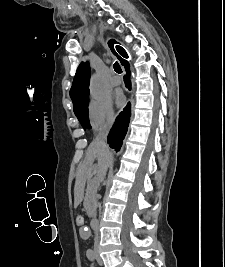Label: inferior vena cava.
<instances>
[{
	"label": "inferior vena cava",
	"instance_id": "1",
	"mask_svg": "<svg viewBox=\"0 0 225 267\" xmlns=\"http://www.w3.org/2000/svg\"><path fill=\"white\" fill-rule=\"evenodd\" d=\"M113 120H108V122L99 130L98 135L96 136L95 142L102 148L104 152L107 154L110 153L109 147L107 144V136L110 131V128L112 126ZM106 169H104L102 175L98 176V181H102L105 177ZM94 245L97 246L99 242V236L98 233H96L95 239H94Z\"/></svg>",
	"mask_w": 225,
	"mask_h": 267
}]
</instances>
